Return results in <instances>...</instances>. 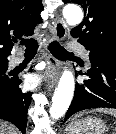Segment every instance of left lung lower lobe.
I'll list each match as a JSON object with an SVG mask.
<instances>
[{"mask_svg":"<svg viewBox=\"0 0 116 134\" xmlns=\"http://www.w3.org/2000/svg\"><path fill=\"white\" fill-rule=\"evenodd\" d=\"M92 67L85 73L89 79L77 84L64 122L75 113L92 108L116 109V58L89 56ZM78 75V74H76Z\"/></svg>","mask_w":116,"mask_h":134,"instance_id":"1","label":"left lung lower lobe"}]
</instances>
